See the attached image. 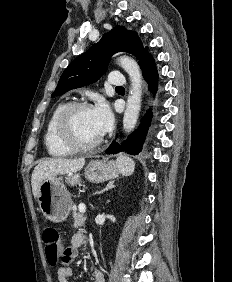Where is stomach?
<instances>
[{"mask_svg":"<svg viewBox=\"0 0 232 282\" xmlns=\"http://www.w3.org/2000/svg\"><path fill=\"white\" fill-rule=\"evenodd\" d=\"M119 169L114 161L92 160L84 169L85 178L93 183H101L117 177ZM65 183L77 185L81 181L80 173L54 176L43 181L38 190V204L43 215L52 222L59 223L68 217L72 208V199Z\"/></svg>","mask_w":232,"mask_h":282,"instance_id":"0dacf381","label":"stomach"}]
</instances>
